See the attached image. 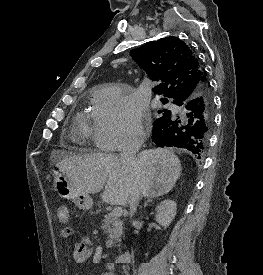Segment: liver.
I'll return each instance as SVG.
<instances>
[{
    "label": "liver",
    "mask_w": 263,
    "mask_h": 275,
    "mask_svg": "<svg viewBox=\"0 0 263 275\" xmlns=\"http://www.w3.org/2000/svg\"><path fill=\"white\" fill-rule=\"evenodd\" d=\"M56 166L73 186L86 194H95L104 187L102 200L111 205H125L133 187L141 197L155 198L170 192L182 171L179 158L169 149L143 150L136 156V171L126 168L112 154L67 156L55 151L51 155Z\"/></svg>",
    "instance_id": "6515ba94"
}]
</instances>
